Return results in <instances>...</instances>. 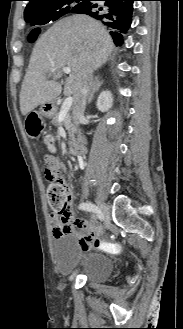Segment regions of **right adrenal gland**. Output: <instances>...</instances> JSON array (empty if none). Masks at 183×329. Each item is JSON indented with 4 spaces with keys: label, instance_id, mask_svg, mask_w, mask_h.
Returning a JSON list of instances; mask_svg holds the SVG:
<instances>
[{
    "label": "right adrenal gland",
    "instance_id": "1",
    "mask_svg": "<svg viewBox=\"0 0 183 329\" xmlns=\"http://www.w3.org/2000/svg\"><path fill=\"white\" fill-rule=\"evenodd\" d=\"M103 84V81L100 80V76H96L95 79H94V85H93V88L89 94V97H88V104H90L92 102V99H93V96L95 94V92H97L101 85Z\"/></svg>",
    "mask_w": 183,
    "mask_h": 329
}]
</instances>
